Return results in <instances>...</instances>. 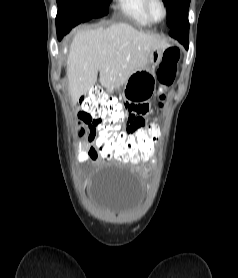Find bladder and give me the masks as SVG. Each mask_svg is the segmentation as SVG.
Masks as SVG:
<instances>
[{"label": "bladder", "instance_id": "1", "mask_svg": "<svg viewBox=\"0 0 238 278\" xmlns=\"http://www.w3.org/2000/svg\"><path fill=\"white\" fill-rule=\"evenodd\" d=\"M92 180H139V175H128L127 169L110 167ZM90 190L98 195L99 205L111 213L126 212L138 204L135 194L141 193V181H90Z\"/></svg>", "mask_w": 238, "mask_h": 278}]
</instances>
